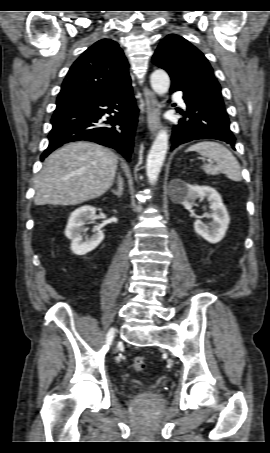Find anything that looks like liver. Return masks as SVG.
Listing matches in <instances>:
<instances>
[{"label":"liver","instance_id":"liver-1","mask_svg":"<svg viewBox=\"0 0 270 453\" xmlns=\"http://www.w3.org/2000/svg\"><path fill=\"white\" fill-rule=\"evenodd\" d=\"M117 163V156L98 144H66L45 159L35 178L34 204L69 206L97 198L112 186Z\"/></svg>","mask_w":270,"mask_h":453}]
</instances>
